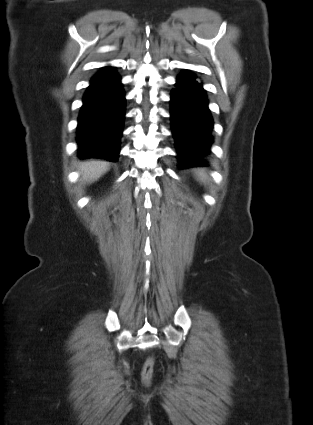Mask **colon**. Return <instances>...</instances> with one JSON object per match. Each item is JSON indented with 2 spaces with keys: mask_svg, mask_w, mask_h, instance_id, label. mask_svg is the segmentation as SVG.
<instances>
[{
  "mask_svg": "<svg viewBox=\"0 0 313 425\" xmlns=\"http://www.w3.org/2000/svg\"><path fill=\"white\" fill-rule=\"evenodd\" d=\"M154 370V360L153 358H149L144 363V366L142 368V380L145 384H148L152 379V374Z\"/></svg>",
  "mask_w": 313,
  "mask_h": 425,
  "instance_id": "1",
  "label": "colon"
}]
</instances>
